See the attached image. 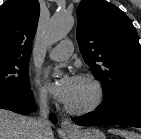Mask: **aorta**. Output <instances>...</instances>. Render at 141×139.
<instances>
[{
  "label": "aorta",
  "instance_id": "aorta-1",
  "mask_svg": "<svg viewBox=\"0 0 141 139\" xmlns=\"http://www.w3.org/2000/svg\"><path fill=\"white\" fill-rule=\"evenodd\" d=\"M74 25V18L66 13L58 12L52 16L50 19L45 33H44V43L46 45H52L69 33Z\"/></svg>",
  "mask_w": 141,
  "mask_h": 139
}]
</instances>
